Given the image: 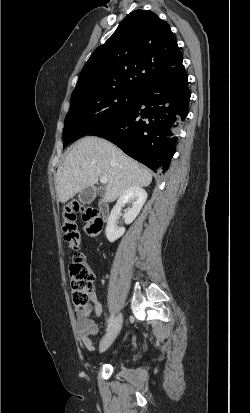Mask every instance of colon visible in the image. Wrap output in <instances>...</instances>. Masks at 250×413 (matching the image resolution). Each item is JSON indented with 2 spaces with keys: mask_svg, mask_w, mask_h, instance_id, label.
I'll return each mask as SVG.
<instances>
[{
  "mask_svg": "<svg viewBox=\"0 0 250 413\" xmlns=\"http://www.w3.org/2000/svg\"><path fill=\"white\" fill-rule=\"evenodd\" d=\"M81 213L84 221V233L91 239L97 238L103 223L96 209L85 206L76 200L66 204L63 208V233L69 247L76 252L70 264V286L74 305L84 308L90 304L94 276L84 257L78 253L81 233L76 223V215Z\"/></svg>",
  "mask_w": 250,
  "mask_h": 413,
  "instance_id": "obj_1",
  "label": "colon"
}]
</instances>
